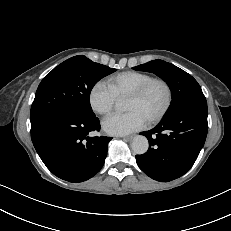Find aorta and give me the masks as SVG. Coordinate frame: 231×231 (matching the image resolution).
<instances>
[{"mask_svg":"<svg viewBox=\"0 0 231 231\" xmlns=\"http://www.w3.org/2000/svg\"><path fill=\"white\" fill-rule=\"evenodd\" d=\"M116 106L118 109H121L122 103H117ZM131 148L135 154L141 155L146 153L149 148L148 139L142 135L135 136L132 140Z\"/></svg>","mask_w":231,"mask_h":231,"instance_id":"762f6f07","label":"aorta"}]
</instances>
